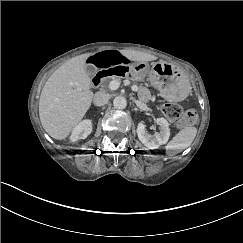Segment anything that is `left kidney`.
<instances>
[{"label": "left kidney", "instance_id": "obj_1", "mask_svg": "<svg viewBox=\"0 0 243 243\" xmlns=\"http://www.w3.org/2000/svg\"><path fill=\"white\" fill-rule=\"evenodd\" d=\"M157 124L160 126V132L154 135L149 134L143 123H138L137 135L139 140L148 149H157L159 146L166 144L170 137L169 123L165 118H157Z\"/></svg>", "mask_w": 243, "mask_h": 243}]
</instances>
